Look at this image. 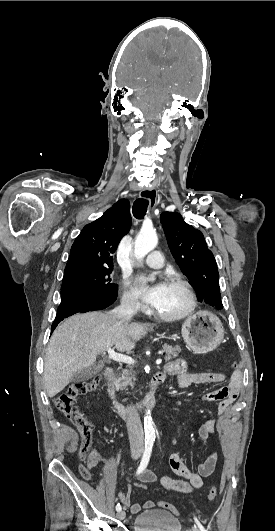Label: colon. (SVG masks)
I'll use <instances>...</instances> for the list:
<instances>
[{"mask_svg":"<svg viewBox=\"0 0 275 531\" xmlns=\"http://www.w3.org/2000/svg\"><path fill=\"white\" fill-rule=\"evenodd\" d=\"M241 366L239 361H233L232 367L234 369H239ZM99 385V380H86L83 382H78L71 385L65 392L60 393L55 399V407L59 410L65 417H67L77 429L81 442L79 457L81 461L86 460L91 454V446L93 442V426L87 420L85 414L75 406V399L83 394L94 391ZM80 474L85 479H90L92 474L87 466V464L82 463L79 467ZM143 486V491L146 490V485ZM217 488L212 486L207 494L208 501H214L217 497ZM160 508L166 510L173 514H178L177 509L171 503L168 502H159Z\"/></svg>","mask_w":275,"mask_h":531,"instance_id":"5ec220e1","label":"colon"}]
</instances>
